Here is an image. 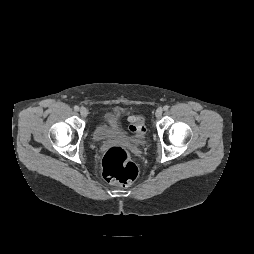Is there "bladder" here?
<instances>
[{"label": "bladder", "mask_w": 254, "mask_h": 254, "mask_svg": "<svg viewBox=\"0 0 254 254\" xmlns=\"http://www.w3.org/2000/svg\"><path fill=\"white\" fill-rule=\"evenodd\" d=\"M127 136V132L121 126L106 125L103 123L97 124L93 137L96 141H104L110 138H120Z\"/></svg>", "instance_id": "obj_1"}]
</instances>
